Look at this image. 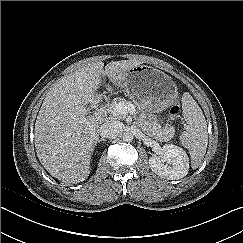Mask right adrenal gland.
I'll return each instance as SVG.
<instances>
[{
  "mask_svg": "<svg viewBox=\"0 0 243 243\" xmlns=\"http://www.w3.org/2000/svg\"><path fill=\"white\" fill-rule=\"evenodd\" d=\"M102 141H105V139H104V138H100V139H98V142H99V143L102 142Z\"/></svg>",
  "mask_w": 243,
  "mask_h": 243,
  "instance_id": "obj_1",
  "label": "right adrenal gland"
}]
</instances>
